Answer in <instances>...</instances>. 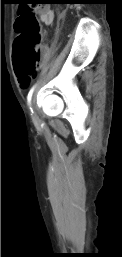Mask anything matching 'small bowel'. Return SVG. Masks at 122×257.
I'll return each instance as SVG.
<instances>
[{
    "mask_svg": "<svg viewBox=\"0 0 122 257\" xmlns=\"http://www.w3.org/2000/svg\"><path fill=\"white\" fill-rule=\"evenodd\" d=\"M38 15L40 20L46 24V25H50L53 22L54 19V14L52 12V10L49 7H39L37 9ZM43 56L46 57L48 55V49L46 47L43 48ZM19 79V83L21 85V87H26L28 85L29 82V78H22L20 76H18Z\"/></svg>",
    "mask_w": 122,
    "mask_h": 257,
    "instance_id": "1",
    "label": "small bowel"
}]
</instances>
